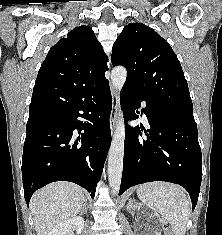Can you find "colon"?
<instances>
[{"label": "colon", "instance_id": "colon-1", "mask_svg": "<svg viewBox=\"0 0 222 235\" xmlns=\"http://www.w3.org/2000/svg\"><path fill=\"white\" fill-rule=\"evenodd\" d=\"M165 235H174L170 230H168Z\"/></svg>", "mask_w": 222, "mask_h": 235}]
</instances>
